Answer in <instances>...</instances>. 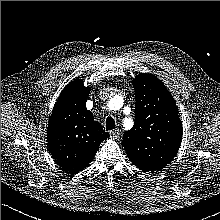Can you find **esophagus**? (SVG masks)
<instances>
[{"mask_svg":"<svg viewBox=\"0 0 220 220\" xmlns=\"http://www.w3.org/2000/svg\"><path fill=\"white\" fill-rule=\"evenodd\" d=\"M120 131L119 129H114L110 131V136L112 139H117L119 137Z\"/></svg>","mask_w":220,"mask_h":220,"instance_id":"34e87169","label":"esophagus"}]
</instances>
